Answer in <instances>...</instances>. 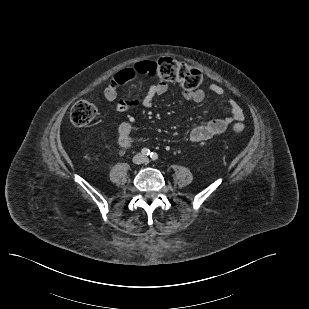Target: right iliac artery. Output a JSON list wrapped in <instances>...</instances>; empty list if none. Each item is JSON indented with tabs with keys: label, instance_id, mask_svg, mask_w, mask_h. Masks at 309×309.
Instances as JSON below:
<instances>
[{
	"label": "right iliac artery",
	"instance_id": "82829eb1",
	"mask_svg": "<svg viewBox=\"0 0 309 309\" xmlns=\"http://www.w3.org/2000/svg\"><path fill=\"white\" fill-rule=\"evenodd\" d=\"M141 153H142L144 156H148V155L151 154V153H150V150L147 149V148H143V149L141 150Z\"/></svg>",
	"mask_w": 309,
	"mask_h": 309
}]
</instances>
